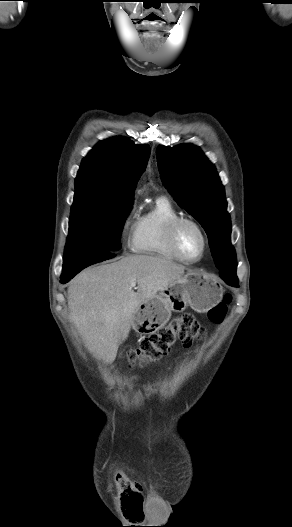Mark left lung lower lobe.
Returning a JSON list of instances; mask_svg holds the SVG:
<instances>
[{
	"label": "left lung lower lobe",
	"mask_w": 292,
	"mask_h": 527,
	"mask_svg": "<svg viewBox=\"0 0 292 527\" xmlns=\"http://www.w3.org/2000/svg\"><path fill=\"white\" fill-rule=\"evenodd\" d=\"M220 277L230 286L238 287L237 275L220 274Z\"/></svg>",
	"instance_id": "0a47b994"
}]
</instances>
